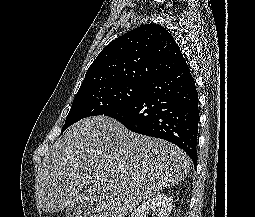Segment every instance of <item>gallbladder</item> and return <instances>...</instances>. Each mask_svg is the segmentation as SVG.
<instances>
[{
  "label": "gallbladder",
  "mask_w": 255,
  "mask_h": 217,
  "mask_svg": "<svg viewBox=\"0 0 255 217\" xmlns=\"http://www.w3.org/2000/svg\"><path fill=\"white\" fill-rule=\"evenodd\" d=\"M66 217H93L90 206L85 203H76L66 209Z\"/></svg>",
  "instance_id": "gallbladder-1"
}]
</instances>
